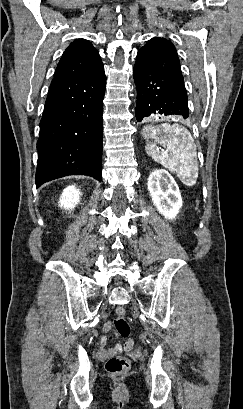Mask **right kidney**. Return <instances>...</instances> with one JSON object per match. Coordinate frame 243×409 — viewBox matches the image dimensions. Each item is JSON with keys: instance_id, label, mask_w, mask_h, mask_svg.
Wrapping results in <instances>:
<instances>
[{"instance_id": "ca27d5eb", "label": "right kidney", "mask_w": 243, "mask_h": 409, "mask_svg": "<svg viewBox=\"0 0 243 409\" xmlns=\"http://www.w3.org/2000/svg\"><path fill=\"white\" fill-rule=\"evenodd\" d=\"M81 192L77 189L74 185L68 186L64 189L60 201L59 206L67 209L72 210L80 201Z\"/></svg>"}]
</instances>
